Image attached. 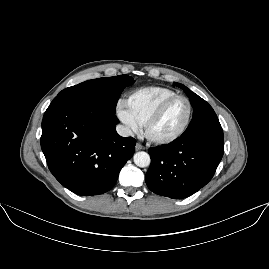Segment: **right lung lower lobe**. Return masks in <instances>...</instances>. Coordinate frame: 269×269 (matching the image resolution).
Masks as SVG:
<instances>
[{"mask_svg": "<svg viewBox=\"0 0 269 269\" xmlns=\"http://www.w3.org/2000/svg\"><path fill=\"white\" fill-rule=\"evenodd\" d=\"M114 111L91 102L55 98L42 120L41 148L53 176L72 192L109 191L135 152L136 140L117 134Z\"/></svg>", "mask_w": 269, "mask_h": 269, "instance_id": "right-lung-lower-lobe-1", "label": "right lung lower lobe"}]
</instances>
